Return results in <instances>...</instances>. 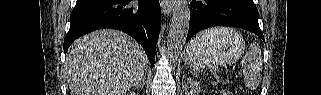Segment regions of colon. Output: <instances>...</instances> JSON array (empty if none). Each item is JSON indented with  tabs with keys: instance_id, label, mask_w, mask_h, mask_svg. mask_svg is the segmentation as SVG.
<instances>
[{
	"instance_id": "5ec220e1",
	"label": "colon",
	"mask_w": 321,
	"mask_h": 95,
	"mask_svg": "<svg viewBox=\"0 0 321 95\" xmlns=\"http://www.w3.org/2000/svg\"><path fill=\"white\" fill-rule=\"evenodd\" d=\"M221 94L222 95H232L233 93L231 91H229V90H224V91H222Z\"/></svg>"
}]
</instances>
